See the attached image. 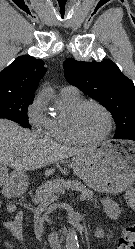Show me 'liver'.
<instances>
[{
  "instance_id": "6515ba94",
  "label": "liver",
  "mask_w": 135,
  "mask_h": 249,
  "mask_svg": "<svg viewBox=\"0 0 135 249\" xmlns=\"http://www.w3.org/2000/svg\"><path fill=\"white\" fill-rule=\"evenodd\" d=\"M84 150L61 146L23 129L15 122L0 119V162L16 172L39 169ZM53 171L47 170L45 174L50 175Z\"/></svg>"
}]
</instances>
